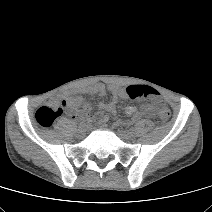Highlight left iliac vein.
I'll return each instance as SVG.
<instances>
[{"label":"left iliac vein","instance_id":"4c4485c4","mask_svg":"<svg viewBox=\"0 0 212 212\" xmlns=\"http://www.w3.org/2000/svg\"><path fill=\"white\" fill-rule=\"evenodd\" d=\"M119 137L122 139V140H125V141H129L132 139L133 135L131 132H128L126 130H123V129H118L117 131Z\"/></svg>","mask_w":212,"mask_h":212}]
</instances>
